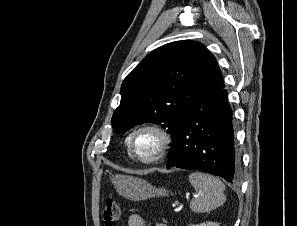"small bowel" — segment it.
<instances>
[{
	"instance_id": "c3829d8e",
	"label": "small bowel",
	"mask_w": 297,
	"mask_h": 226,
	"mask_svg": "<svg viewBox=\"0 0 297 226\" xmlns=\"http://www.w3.org/2000/svg\"><path fill=\"white\" fill-rule=\"evenodd\" d=\"M128 226H147L146 220L139 214H132L128 218ZM154 226H167L164 223H157Z\"/></svg>"
}]
</instances>
